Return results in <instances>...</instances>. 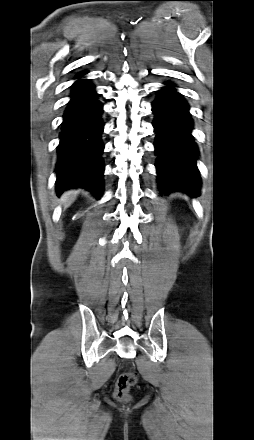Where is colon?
Instances as JSON below:
<instances>
[{
    "label": "colon",
    "instance_id": "obj_1",
    "mask_svg": "<svg viewBox=\"0 0 254 440\" xmlns=\"http://www.w3.org/2000/svg\"><path fill=\"white\" fill-rule=\"evenodd\" d=\"M137 376L133 372H126L119 375L116 380L113 395L119 401H126L129 398L130 389L136 384Z\"/></svg>",
    "mask_w": 254,
    "mask_h": 440
}]
</instances>
